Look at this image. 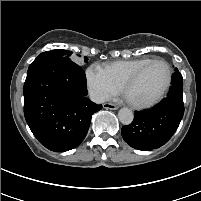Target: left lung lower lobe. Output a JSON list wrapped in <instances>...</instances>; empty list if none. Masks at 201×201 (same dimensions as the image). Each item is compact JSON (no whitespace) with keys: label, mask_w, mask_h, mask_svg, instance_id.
<instances>
[{"label":"left lung lower lobe","mask_w":201,"mask_h":201,"mask_svg":"<svg viewBox=\"0 0 201 201\" xmlns=\"http://www.w3.org/2000/svg\"><path fill=\"white\" fill-rule=\"evenodd\" d=\"M182 81L176 68L167 97L151 109L135 112L133 122L122 127V137L129 146L150 151L172 137L184 114Z\"/></svg>","instance_id":"left-lung-lower-lobe-1"}]
</instances>
